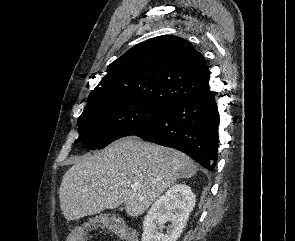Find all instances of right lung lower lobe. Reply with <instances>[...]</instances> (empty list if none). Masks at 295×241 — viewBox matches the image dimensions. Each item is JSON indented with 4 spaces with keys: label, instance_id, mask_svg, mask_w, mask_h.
<instances>
[{
    "label": "right lung lower lobe",
    "instance_id": "1",
    "mask_svg": "<svg viewBox=\"0 0 295 241\" xmlns=\"http://www.w3.org/2000/svg\"><path fill=\"white\" fill-rule=\"evenodd\" d=\"M219 122L214 94L207 90L172 103L125 136L180 150L212 171L217 162Z\"/></svg>",
    "mask_w": 295,
    "mask_h": 241
}]
</instances>
